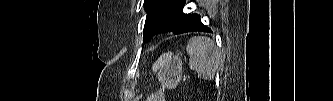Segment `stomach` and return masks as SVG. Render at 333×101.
Segmentation results:
<instances>
[{"label":"stomach","mask_w":333,"mask_h":101,"mask_svg":"<svg viewBox=\"0 0 333 101\" xmlns=\"http://www.w3.org/2000/svg\"><path fill=\"white\" fill-rule=\"evenodd\" d=\"M158 78L162 88L148 97L147 101H164V89H173L178 85L182 78L181 59L171 52L163 54L159 59Z\"/></svg>","instance_id":"obj_1"}]
</instances>
